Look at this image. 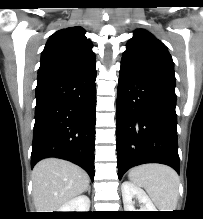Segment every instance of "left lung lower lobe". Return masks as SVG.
<instances>
[{
    "label": "left lung lower lobe",
    "instance_id": "obj_1",
    "mask_svg": "<svg viewBox=\"0 0 203 219\" xmlns=\"http://www.w3.org/2000/svg\"><path fill=\"white\" fill-rule=\"evenodd\" d=\"M175 78L121 62L117 89L118 177L136 165L166 164L179 173Z\"/></svg>",
    "mask_w": 203,
    "mask_h": 219
}]
</instances>
